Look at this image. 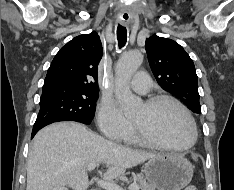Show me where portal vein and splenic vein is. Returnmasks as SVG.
Wrapping results in <instances>:
<instances>
[{
	"mask_svg": "<svg viewBox=\"0 0 234 190\" xmlns=\"http://www.w3.org/2000/svg\"><path fill=\"white\" fill-rule=\"evenodd\" d=\"M97 164L96 163H91L88 165V171H92L96 168ZM98 185L100 187H102L105 190H124L123 188H121L119 185L109 182V181H104V180H99ZM129 190H140L139 185L133 183L128 187Z\"/></svg>",
	"mask_w": 234,
	"mask_h": 190,
	"instance_id": "portal-vein-and-splenic-vein-1",
	"label": "portal vein and splenic vein"
}]
</instances>
